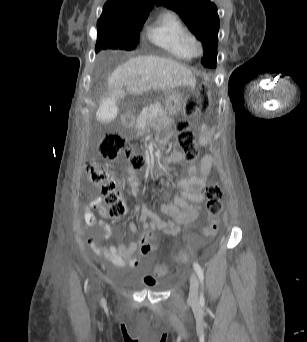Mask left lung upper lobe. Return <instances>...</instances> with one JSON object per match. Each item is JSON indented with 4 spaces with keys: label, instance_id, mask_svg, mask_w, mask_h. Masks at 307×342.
<instances>
[{
    "label": "left lung upper lobe",
    "instance_id": "1",
    "mask_svg": "<svg viewBox=\"0 0 307 342\" xmlns=\"http://www.w3.org/2000/svg\"><path fill=\"white\" fill-rule=\"evenodd\" d=\"M179 14L185 24L203 44L205 67H216L219 17L217 8L209 0H157Z\"/></svg>",
    "mask_w": 307,
    "mask_h": 342
}]
</instances>
